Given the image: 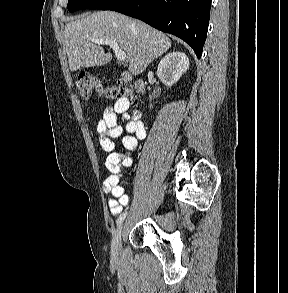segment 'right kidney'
Masks as SVG:
<instances>
[{"label": "right kidney", "mask_w": 288, "mask_h": 293, "mask_svg": "<svg viewBox=\"0 0 288 293\" xmlns=\"http://www.w3.org/2000/svg\"><path fill=\"white\" fill-rule=\"evenodd\" d=\"M189 68V59L185 53L176 51L167 54L159 63L157 75L168 87L176 83Z\"/></svg>", "instance_id": "1"}]
</instances>
